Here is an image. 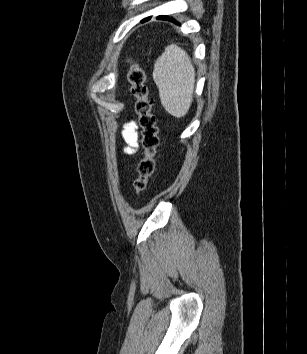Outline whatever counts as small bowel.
<instances>
[{
	"instance_id": "1",
	"label": "small bowel",
	"mask_w": 307,
	"mask_h": 354,
	"mask_svg": "<svg viewBox=\"0 0 307 354\" xmlns=\"http://www.w3.org/2000/svg\"><path fill=\"white\" fill-rule=\"evenodd\" d=\"M122 138L125 142L124 152L127 155H132L138 148V132L137 125L134 121L125 124L122 131Z\"/></svg>"
}]
</instances>
